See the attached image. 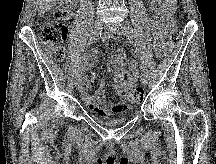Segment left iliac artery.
<instances>
[{
    "label": "left iliac artery",
    "instance_id": "1",
    "mask_svg": "<svg viewBox=\"0 0 216 164\" xmlns=\"http://www.w3.org/2000/svg\"><path fill=\"white\" fill-rule=\"evenodd\" d=\"M123 30L126 32L129 41H130L134 46H136V35H135L133 29H132L130 26L124 25V26H123ZM136 55L138 56L137 53H136ZM138 57H139V56H138ZM141 69H142L141 72L144 74L146 71L144 70L143 66H141Z\"/></svg>",
    "mask_w": 216,
    "mask_h": 164
}]
</instances>
